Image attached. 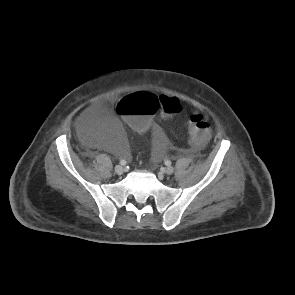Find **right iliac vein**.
Instances as JSON below:
<instances>
[{"label": "right iliac vein", "instance_id": "obj_1", "mask_svg": "<svg viewBox=\"0 0 295 295\" xmlns=\"http://www.w3.org/2000/svg\"><path fill=\"white\" fill-rule=\"evenodd\" d=\"M115 172H116L118 175H121V174L124 172V168H123V166H121V165H117V166H115Z\"/></svg>", "mask_w": 295, "mask_h": 295}]
</instances>
